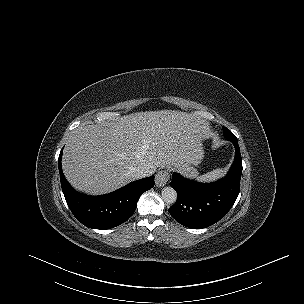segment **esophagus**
<instances>
[{
  "instance_id": "1",
  "label": "esophagus",
  "mask_w": 304,
  "mask_h": 304,
  "mask_svg": "<svg viewBox=\"0 0 304 304\" xmlns=\"http://www.w3.org/2000/svg\"><path fill=\"white\" fill-rule=\"evenodd\" d=\"M170 175L168 171L161 170L157 173L155 176V184L157 187H163L165 186L169 181Z\"/></svg>"
}]
</instances>
